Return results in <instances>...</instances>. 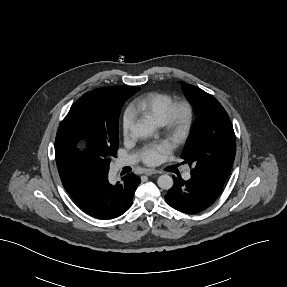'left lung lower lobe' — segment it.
Returning <instances> with one entry per match:
<instances>
[{"label":"left lung lower lobe","instance_id":"0a47b994","mask_svg":"<svg viewBox=\"0 0 287 287\" xmlns=\"http://www.w3.org/2000/svg\"><path fill=\"white\" fill-rule=\"evenodd\" d=\"M173 179L175 183L165 200L174 209L188 214L201 212L213 204L224 185L197 172H191L187 181L175 176Z\"/></svg>","mask_w":287,"mask_h":287}]
</instances>
